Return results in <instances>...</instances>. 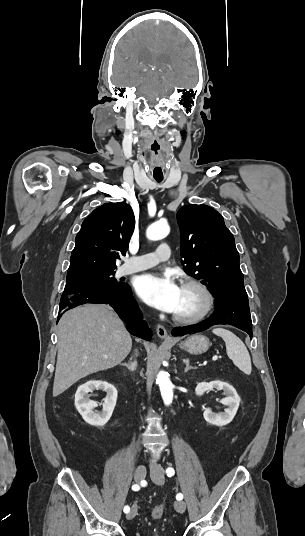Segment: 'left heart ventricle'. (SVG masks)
<instances>
[{
  "instance_id": "obj_1",
  "label": "left heart ventricle",
  "mask_w": 305,
  "mask_h": 536,
  "mask_svg": "<svg viewBox=\"0 0 305 536\" xmlns=\"http://www.w3.org/2000/svg\"><path fill=\"white\" fill-rule=\"evenodd\" d=\"M205 304L202 293L187 286L180 287V301L178 307L174 311L176 314H192L203 309Z\"/></svg>"
}]
</instances>
